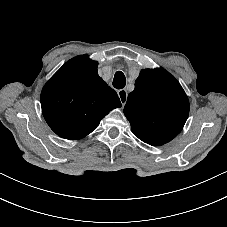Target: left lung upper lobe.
I'll return each instance as SVG.
<instances>
[{
  "instance_id": "left-lung-upper-lobe-1",
  "label": "left lung upper lobe",
  "mask_w": 227,
  "mask_h": 227,
  "mask_svg": "<svg viewBox=\"0 0 227 227\" xmlns=\"http://www.w3.org/2000/svg\"><path fill=\"white\" fill-rule=\"evenodd\" d=\"M124 114L133 134L143 142L160 146L182 130L189 100L179 82L165 69H143L128 95Z\"/></svg>"
}]
</instances>
